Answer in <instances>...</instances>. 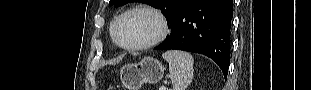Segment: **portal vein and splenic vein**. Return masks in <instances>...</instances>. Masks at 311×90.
I'll use <instances>...</instances> for the list:
<instances>
[{
  "mask_svg": "<svg viewBox=\"0 0 311 90\" xmlns=\"http://www.w3.org/2000/svg\"><path fill=\"white\" fill-rule=\"evenodd\" d=\"M160 90H166V88H165L164 86H162V87L160 88Z\"/></svg>",
  "mask_w": 311,
  "mask_h": 90,
  "instance_id": "1",
  "label": "portal vein and splenic vein"
}]
</instances>
